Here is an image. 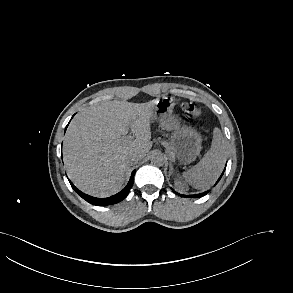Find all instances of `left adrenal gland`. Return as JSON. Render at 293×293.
I'll return each mask as SVG.
<instances>
[{
  "mask_svg": "<svg viewBox=\"0 0 293 293\" xmlns=\"http://www.w3.org/2000/svg\"><path fill=\"white\" fill-rule=\"evenodd\" d=\"M173 173V166H172V162H170V170H169V174L171 175Z\"/></svg>",
  "mask_w": 293,
  "mask_h": 293,
  "instance_id": "1",
  "label": "left adrenal gland"
}]
</instances>
